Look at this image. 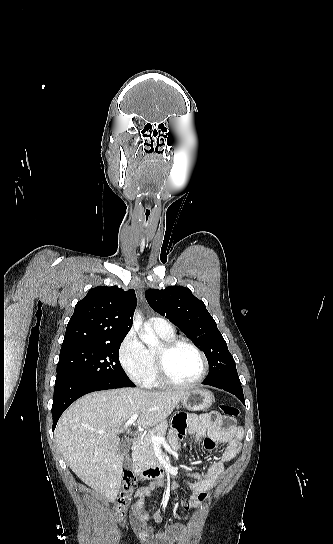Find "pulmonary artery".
Returning <instances> with one entry per match:
<instances>
[{"instance_id":"obj_1","label":"pulmonary artery","mask_w":333,"mask_h":544,"mask_svg":"<svg viewBox=\"0 0 333 544\" xmlns=\"http://www.w3.org/2000/svg\"><path fill=\"white\" fill-rule=\"evenodd\" d=\"M149 325L157 332L169 334L174 332L172 325L165 319L160 317H152L148 320Z\"/></svg>"}]
</instances>
